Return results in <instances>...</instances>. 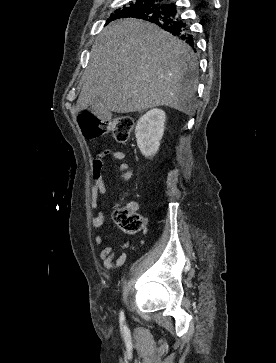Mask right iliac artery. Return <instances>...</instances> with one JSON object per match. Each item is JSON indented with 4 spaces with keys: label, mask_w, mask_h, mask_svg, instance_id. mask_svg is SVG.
Instances as JSON below:
<instances>
[{
    "label": "right iliac artery",
    "mask_w": 276,
    "mask_h": 363,
    "mask_svg": "<svg viewBox=\"0 0 276 363\" xmlns=\"http://www.w3.org/2000/svg\"><path fill=\"white\" fill-rule=\"evenodd\" d=\"M124 319H125V317H124V312L121 310V311H120V321H121V322H123V321H124Z\"/></svg>",
    "instance_id": "right-iliac-artery-1"
}]
</instances>
